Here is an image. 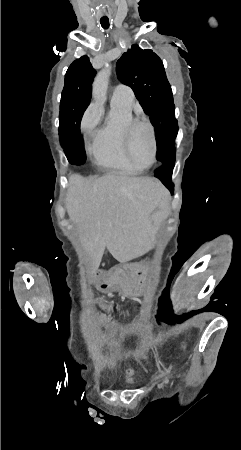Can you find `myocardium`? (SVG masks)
Wrapping results in <instances>:
<instances>
[{"mask_svg":"<svg viewBox=\"0 0 241 450\" xmlns=\"http://www.w3.org/2000/svg\"><path fill=\"white\" fill-rule=\"evenodd\" d=\"M139 121H141V116H136V118H130L127 121H125L121 127V132L123 136L120 137V142L123 143L121 145L122 152L126 153V162H132L133 161V154L129 148V145L131 141L133 140L131 137H134L138 134V131L136 129H133L132 127H136L139 124ZM149 127H157V122H149ZM132 128V129H131ZM147 135H150L147 140L144 141V144L147 145V148L151 150V156H152V162H157V156H158V149L155 148V130H147Z\"/></svg>","mask_w":241,"mask_h":450,"instance_id":"obj_1","label":"myocardium"}]
</instances>
